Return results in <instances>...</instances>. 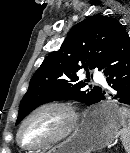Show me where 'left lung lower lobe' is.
Instances as JSON below:
<instances>
[{
	"instance_id": "obj_1",
	"label": "left lung lower lobe",
	"mask_w": 130,
	"mask_h": 153,
	"mask_svg": "<svg viewBox=\"0 0 130 153\" xmlns=\"http://www.w3.org/2000/svg\"><path fill=\"white\" fill-rule=\"evenodd\" d=\"M101 70L112 88L109 93L112 99L130 105V38L125 30L116 38ZM104 94L97 102L105 99Z\"/></svg>"
}]
</instances>
